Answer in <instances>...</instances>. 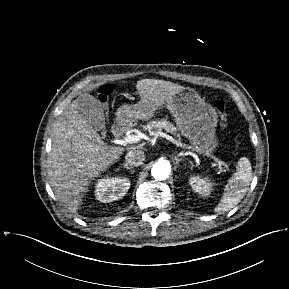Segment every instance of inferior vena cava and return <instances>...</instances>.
Listing matches in <instances>:
<instances>
[{
	"label": "inferior vena cava",
	"mask_w": 289,
	"mask_h": 289,
	"mask_svg": "<svg viewBox=\"0 0 289 289\" xmlns=\"http://www.w3.org/2000/svg\"><path fill=\"white\" fill-rule=\"evenodd\" d=\"M125 160L131 166H140L145 160V155L142 150H131L125 156Z\"/></svg>",
	"instance_id": "obj_1"
}]
</instances>
